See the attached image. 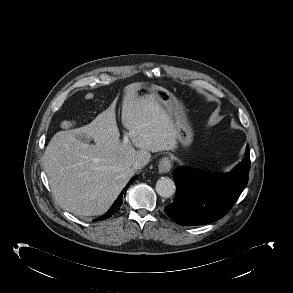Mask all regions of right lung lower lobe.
<instances>
[{
	"label": "right lung lower lobe",
	"mask_w": 293,
	"mask_h": 293,
	"mask_svg": "<svg viewBox=\"0 0 293 293\" xmlns=\"http://www.w3.org/2000/svg\"><path fill=\"white\" fill-rule=\"evenodd\" d=\"M132 181H133V179L127 184L125 189L128 188V186L131 184ZM124 190L120 193V195L118 196V198L116 199V201L114 202L112 207L109 209V211L106 214H104L103 216L95 219L94 221H101V220L108 219L109 217H111L113 214H115L119 210V208H120V206L122 205V202H123L122 198H123Z\"/></svg>",
	"instance_id": "obj_1"
}]
</instances>
